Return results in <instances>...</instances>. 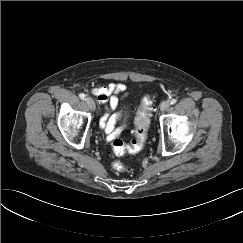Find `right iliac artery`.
<instances>
[{
  "label": "right iliac artery",
  "instance_id": "right-iliac-artery-1",
  "mask_svg": "<svg viewBox=\"0 0 243 243\" xmlns=\"http://www.w3.org/2000/svg\"><path fill=\"white\" fill-rule=\"evenodd\" d=\"M79 97H80V99L84 100L86 96H85V94L81 93V94H79Z\"/></svg>",
  "mask_w": 243,
  "mask_h": 243
}]
</instances>
